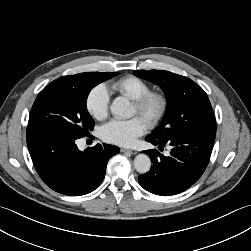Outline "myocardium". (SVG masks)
<instances>
[{"label": "myocardium", "mask_w": 251, "mask_h": 251, "mask_svg": "<svg viewBox=\"0 0 251 251\" xmlns=\"http://www.w3.org/2000/svg\"><path fill=\"white\" fill-rule=\"evenodd\" d=\"M137 112L150 125H158L168 110L166 95L158 91H149L140 98L134 100Z\"/></svg>", "instance_id": "1"}]
</instances>
